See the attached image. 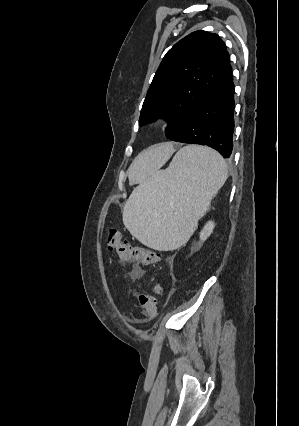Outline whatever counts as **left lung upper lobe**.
Returning a JSON list of instances; mask_svg holds the SVG:
<instances>
[{
	"label": "left lung upper lobe",
	"mask_w": 299,
	"mask_h": 426,
	"mask_svg": "<svg viewBox=\"0 0 299 426\" xmlns=\"http://www.w3.org/2000/svg\"><path fill=\"white\" fill-rule=\"evenodd\" d=\"M230 68L225 43L217 34H189L164 56L147 92L139 122L144 125L158 116L166 119V137L172 139Z\"/></svg>",
	"instance_id": "1"
}]
</instances>
